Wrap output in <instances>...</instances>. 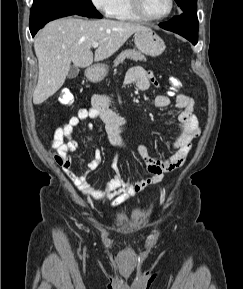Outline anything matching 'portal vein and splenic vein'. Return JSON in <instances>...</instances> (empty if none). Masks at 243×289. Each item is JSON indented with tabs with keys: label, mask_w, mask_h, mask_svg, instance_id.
I'll return each mask as SVG.
<instances>
[{
	"label": "portal vein and splenic vein",
	"mask_w": 243,
	"mask_h": 289,
	"mask_svg": "<svg viewBox=\"0 0 243 289\" xmlns=\"http://www.w3.org/2000/svg\"><path fill=\"white\" fill-rule=\"evenodd\" d=\"M99 46V42H94V43H92V47L93 48H97Z\"/></svg>",
	"instance_id": "obj_1"
}]
</instances>
